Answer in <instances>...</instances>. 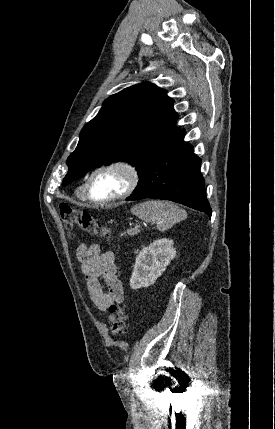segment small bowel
Wrapping results in <instances>:
<instances>
[{
  "mask_svg": "<svg viewBox=\"0 0 275 429\" xmlns=\"http://www.w3.org/2000/svg\"><path fill=\"white\" fill-rule=\"evenodd\" d=\"M77 258L90 299L99 311L105 312L111 305L124 301V289L117 276L113 252H101L98 244H83L77 249ZM100 279L104 280L107 291L103 289Z\"/></svg>",
  "mask_w": 275,
  "mask_h": 429,
  "instance_id": "obj_1",
  "label": "small bowel"
}]
</instances>
